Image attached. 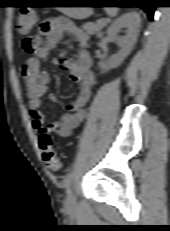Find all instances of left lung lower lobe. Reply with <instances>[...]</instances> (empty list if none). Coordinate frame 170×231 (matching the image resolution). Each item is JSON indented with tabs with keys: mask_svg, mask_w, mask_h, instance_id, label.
I'll return each mask as SVG.
<instances>
[{
	"mask_svg": "<svg viewBox=\"0 0 170 231\" xmlns=\"http://www.w3.org/2000/svg\"><path fill=\"white\" fill-rule=\"evenodd\" d=\"M104 3H116L119 7H140L143 9L148 17L152 20L153 14L155 10L154 2L153 0H106ZM122 4H128V5H122Z\"/></svg>",
	"mask_w": 170,
	"mask_h": 231,
	"instance_id": "obj_1",
	"label": "left lung lower lobe"
}]
</instances>
